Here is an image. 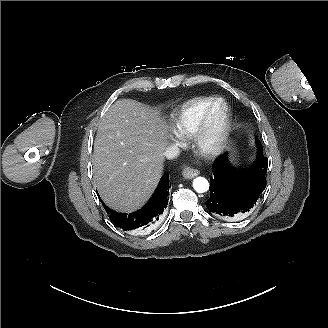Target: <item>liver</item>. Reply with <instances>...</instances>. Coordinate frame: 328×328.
Returning a JSON list of instances; mask_svg holds the SVG:
<instances>
[{
    "label": "liver",
    "mask_w": 328,
    "mask_h": 328,
    "mask_svg": "<svg viewBox=\"0 0 328 328\" xmlns=\"http://www.w3.org/2000/svg\"><path fill=\"white\" fill-rule=\"evenodd\" d=\"M171 127L156 108L117 100L94 141L93 184L111 209L131 213L151 198L163 173Z\"/></svg>",
    "instance_id": "liver-1"
}]
</instances>
